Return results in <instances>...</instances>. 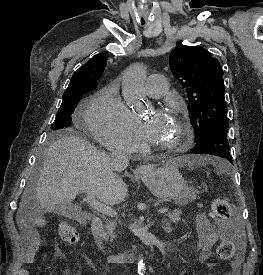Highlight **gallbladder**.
Instances as JSON below:
<instances>
[{
	"label": "gallbladder",
	"mask_w": 263,
	"mask_h": 275,
	"mask_svg": "<svg viewBox=\"0 0 263 275\" xmlns=\"http://www.w3.org/2000/svg\"><path fill=\"white\" fill-rule=\"evenodd\" d=\"M53 212L58 214V215H62L65 217H76V212H78V210L76 209L75 212L73 210L72 207H70L69 205L66 204H57L54 209Z\"/></svg>",
	"instance_id": "gallbladder-1"
}]
</instances>
